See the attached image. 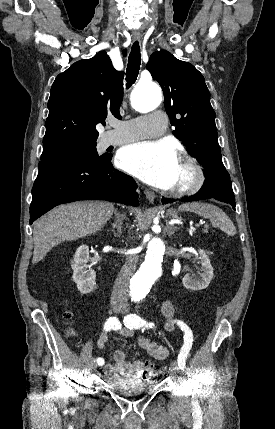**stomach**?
<instances>
[{
    "mask_svg": "<svg viewBox=\"0 0 275 429\" xmlns=\"http://www.w3.org/2000/svg\"><path fill=\"white\" fill-rule=\"evenodd\" d=\"M167 216L172 217V218H177V213L174 210H169L167 212Z\"/></svg>",
    "mask_w": 275,
    "mask_h": 429,
    "instance_id": "0dacf381",
    "label": "stomach"
}]
</instances>
